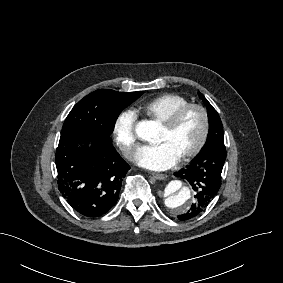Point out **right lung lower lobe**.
Segmentation results:
<instances>
[{
    "label": "right lung lower lobe",
    "mask_w": 283,
    "mask_h": 283,
    "mask_svg": "<svg viewBox=\"0 0 283 283\" xmlns=\"http://www.w3.org/2000/svg\"><path fill=\"white\" fill-rule=\"evenodd\" d=\"M55 162L61 194L88 218L100 217L116 204L130 169L111 142L79 133L61 135Z\"/></svg>",
    "instance_id": "98d812e1"
}]
</instances>
